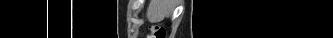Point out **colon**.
<instances>
[{"instance_id": "obj_1", "label": "colon", "mask_w": 333, "mask_h": 38, "mask_svg": "<svg viewBox=\"0 0 333 38\" xmlns=\"http://www.w3.org/2000/svg\"><path fill=\"white\" fill-rule=\"evenodd\" d=\"M151 34L152 36H150V38H165L166 36L165 30L158 25L152 27Z\"/></svg>"}]
</instances>
